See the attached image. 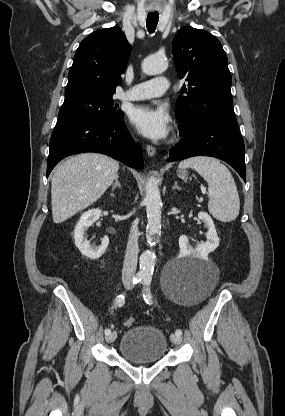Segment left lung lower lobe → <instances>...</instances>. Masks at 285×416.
Masks as SVG:
<instances>
[{
    "label": "left lung lower lobe",
    "instance_id": "left-lung-lower-lobe-1",
    "mask_svg": "<svg viewBox=\"0 0 285 416\" xmlns=\"http://www.w3.org/2000/svg\"><path fill=\"white\" fill-rule=\"evenodd\" d=\"M170 150L167 162L193 156H212L230 164L246 181L244 142L235 118H220L204 122L187 132Z\"/></svg>",
    "mask_w": 285,
    "mask_h": 416
}]
</instances>
